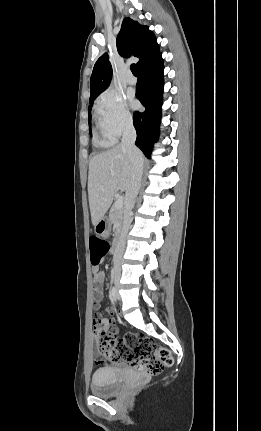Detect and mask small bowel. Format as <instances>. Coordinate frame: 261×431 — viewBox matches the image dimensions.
<instances>
[{"mask_svg":"<svg viewBox=\"0 0 261 431\" xmlns=\"http://www.w3.org/2000/svg\"><path fill=\"white\" fill-rule=\"evenodd\" d=\"M94 271V284H95V299L94 304H99V302L103 299L104 295V281H105V273L103 271H99L98 268H93ZM109 317H114V312H109ZM102 313L99 310L93 312L94 317V325L93 331L97 335L101 332H110L112 323L111 320L107 318H101Z\"/></svg>","mask_w":261,"mask_h":431,"instance_id":"c3829d8e","label":"small bowel"}]
</instances>
